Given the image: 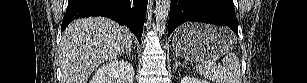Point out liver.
<instances>
[{
	"mask_svg": "<svg viewBox=\"0 0 307 83\" xmlns=\"http://www.w3.org/2000/svg\"><path fill=\"white\" fill-rule=\"evenodd\" d=\"M132 48V33L103 17L73 21L60 44L61 83H87L101 63Z\"/></svg>",
	"mask_w": 307,
	"mask_h": 83,
	"instance_id": "obj_1",
	"label": "liver"
}]
</instances>
